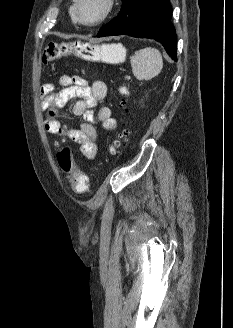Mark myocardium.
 <instances>
[{
  "label": "myocardium",
  "instance_id": "obj_1",
  "mask_svg": "<svg viewBox=\"0 0 233 328\" xmlns=\"http://www.w3.org/2000/svg\"><path fill=\"white\" fill-rule=\"evenodd\" d=\"M74 4H73V13L75 16V20L84 26H97L101 23H103L113 12L114 8H115V3L116 0H104L105 2V8L102 12V14L94 21H85L82 19L81 17V13H80V0H73Z\"/></svg>",
  "mask_w": 233,
  "mask_h": 328
}]
</instances>
